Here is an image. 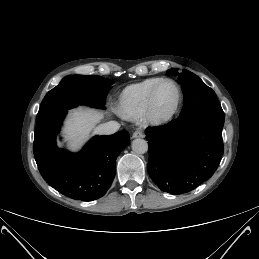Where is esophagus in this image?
I'll use <instances>...</instances> for the list:
<instances>
[{"label": "esophagus", "mask_w": 259, "mask_h": 259, "mask_svg": "<svg viewBox=\"0 0 259 259\" xmlns=\"http://www.w3.org/2000/svg\"><path fill=\"white\" fill-rule=\"evenodd\" d=\"M144 136V133L139 129L135 130L132 134L133 138H143Z\"/></svg>", "instance_id": "1"}]
</instances>
